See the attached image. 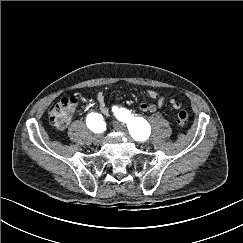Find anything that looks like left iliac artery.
Instances as JSON below:
<instances>
[{"mask_svg": "<svg viewBox=\"0 0 243 243\" xmlns=\"http://www.w3.org/2000/svg\"><path fill=\"white\" fill-rule=\"evenodd\" d=\"M113 112L118 120L127 124L130 134L136 141L147 139L149 125L144 118L133 116L125 108L118 109L114 107Z\"/></svg>", "mask_w": 243, "mask_h": 243, "instance_id": "1", "label": "left iliac artery"}]
</instances>
